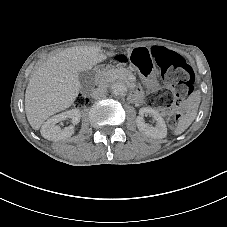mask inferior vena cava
I'll return each instance as SVG.
<instances>
[{
    "mask_svg": "<svg viewBox=\"0 0 227 227\" xmlns=\"http://www.w3.org/2000/svg\"><path fill=\"white\" fill-rule=\"evenodd\" d=\"M106 90L104 88L98 87L91 90L90 95L94 99H99L105 95Z\"/></svg>",
    "mask_w": 227,
    "mask_h": 227,
    "instance_id": "1",
    "label": "inferior vena cava"
}]
</instances>
